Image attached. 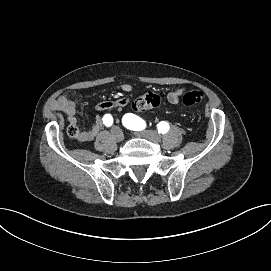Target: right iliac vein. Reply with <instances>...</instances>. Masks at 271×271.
I'll list each match as a JSON object with an SVG mask.
<instances>
[{"label":"right iliac vein","mask_w":271,"mask_h":271,"mask_svg":"<svg viewBox=\"0 0 271 271\" xmlns=\"http://www.w3.org/2000/svg\"><path fill=\"white\" fill-rule=\"evenodd\" d=\"M112 135L114 137V139L117 141V142H120L124 139V134L123 132L121 131L120 128L118 127H115L112 131Z\"/></svg>","instance_id":"obj_1"}]
</instances>
